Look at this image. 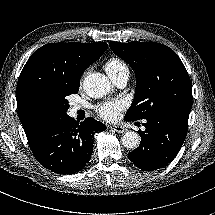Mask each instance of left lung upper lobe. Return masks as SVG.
<instances>
[{
    "mask_svg": "<svg viewBox=\"0 0 215 215\" xmlns=\"http://www.w3.org/2000/svg\"><path fill=\"white\" fill-rule=\"evenodd\" d=\"M113 52L135 71L136 92L125 118L129 121L174 111H190L192 87L188 73L169 47L149 42H109Z\"/></svg>",
    "mask_w": 215,
    "mask_h": 215,
    "instance_id": "left-lung-upper-lobe-1",
    "label": "left lung upper lobe"
}]
</instances>
